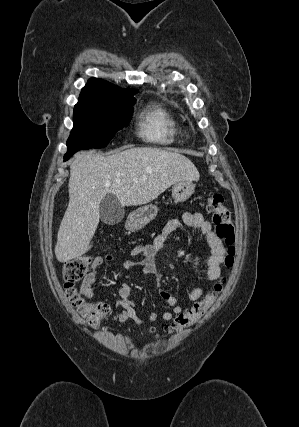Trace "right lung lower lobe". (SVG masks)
I'll return each instance as SVG.
<instances>
[{"mask_svg": "<svg viewBox=\"0 0 299 427\" xmlns=\"http://www.w3.org/2000/svg\"><path fill=\"white\" fill-rule=\"evenodd\" d=\"M73 154L66 153L64 156V161L68 160Z\"/></svg>", "mask_w": 299, "mask_h": 427, "instance_id": "1", "label": "right lung lower lobe"}]
</instances>
